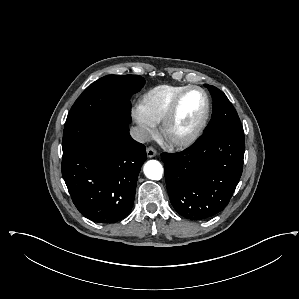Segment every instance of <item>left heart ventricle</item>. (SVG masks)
<instances>
[{
	"instance_id": "obj_1",
	"label": "left heart ventricle",
	"mask_w": 299,
	"mask_h": 299,
	"mask_svg": "<svg viewBox=\"0 0 299 299\" xmlns=\"http://www.w3.org/2000/svg\"><path fill=\"white\" fill-rule=\"evenodd\" d=\"M204 111V98L199 91H191L183 98L172 133L183 136L192 130L199 122Z\"/></svg>"
}]
</instances>
